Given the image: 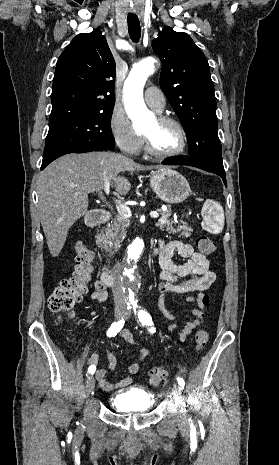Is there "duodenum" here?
<instances>
[{
  "instance_id": "obj_1",
  "label": "duodenum",
  "mask_w": 279,
  "mask_h": 465,
  "mask_svg": "<svg viewBox=\"0 0 279 465\" xmlns=\"http://www.w3.org/2000/svg\"><path fill=\"white\" fill-rule=\"evenodd\" d=\"M111 218V213L107 210H100L90 214L87 217V222L89 225L94 227H100L101 225L108 222ZM101 280L107 285L111 286L113 284V276L110 270V267L105 264L102 273H101Z\"/></svg>"
}]
</instances>
